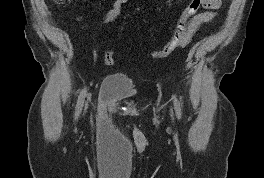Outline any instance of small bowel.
I'll list each match as a JSON object with an SVG mask.
<instances>
[{"mask_svg":"<svg viewBox=\"0 0 264 178\" xmlns=\"http://www.w3.org/2000/svg\"><path fill=\"white\" fill-rule=\"evenodd\" d=\"M205 11L198 13L192 20L193 26L197 29L202 23L210 21L215 14V11L221 7V0H207ZM129 0H116L111 9L103 16L99 24H108L115 21L122 13L124 6Z\"/></svg>","mask_w":264,"mask_h":178,"instance_id":"obj_1","label":"small bowel"}]
</instances>
